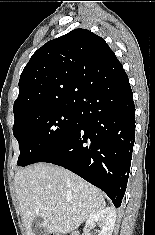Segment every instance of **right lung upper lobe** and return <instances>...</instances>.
<instances>
[{
    "label": "right lung upper lobe",
    "instance_id": "1",
    "mask_svg": "<svg viewBox=\"0 0 155 235\" xmlns=\"http://www.w3.org/2000/svg\"><path fill=\"white\" fill-rule=\"evenodd\" d=\"M124 72L105 40L75 29L39 48L19 80L14 116L56 105H77L96 85Z\"/></svg>",
    "mask_w": 155,
    "mask_h": 235
}]
</instances>
